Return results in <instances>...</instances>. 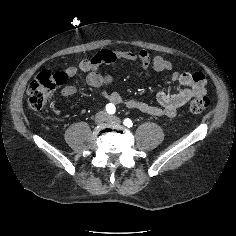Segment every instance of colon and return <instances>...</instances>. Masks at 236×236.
<instances>
[{"instance_id": "obj_1", "label": "colon", "mask_w": 236, "mask_h": 236, "mask_svg": "<svg viewBox=\"0 0 236 236\" xmlns=\"http://www.w3.org/2000/svg\"><path fill=\"white\" fill-rule=\"evenodd\" d=\"M64 72L42 71L29 84L27 89L28 104L33 110H41L51 97L52 93L67 81ZM209 105V99L199 96L190 103L193 113L203 112Z\"/></svg>"}]
</instances>
